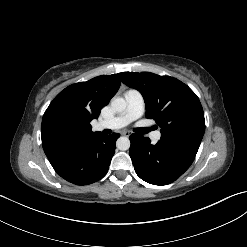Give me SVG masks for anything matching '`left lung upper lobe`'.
Listing matches in <instances>:
<instances>
[{
    "label": "left lung upper lobe",
    "instance_id": "left-lung-upper-lobe-1",
    "mask_svg": "<svg viewBox=\"0 0 247 247\" xmlns=\"http://www.w3.org/2000/svg\"><path fill=\"white\" fill-rule=\"evenodd\" d=\"M122 82L143 95L146 118L161 127V140L196 155L205 131L197 95L181 81L150 72H123Z\"/></svg>",
    "mask_w": 247,
    "mask_h": 247
}]
</instances>
